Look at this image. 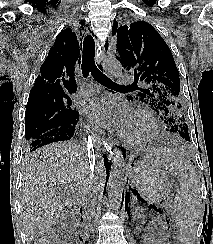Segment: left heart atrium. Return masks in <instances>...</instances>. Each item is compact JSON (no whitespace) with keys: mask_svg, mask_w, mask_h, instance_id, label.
I'll use <instances>...</instances> for the list:
<instances>
[{"mask_svg":"<svg viewBox=\"0 0 213 244\" xmlns=\"http://www.w3.org/2000/svg\"><path fill=\"white\" fill-rule=\"evenodd\" d=\"M84 113L94 127L114 128L121 133L125 131L134 116L126 104L108 96L88 100L84 106Z\"/></svg>","mask_w":213,"mask_h":244,"instance_id":"39dd6f15","label":"left heart atrium"}]
</instances>
